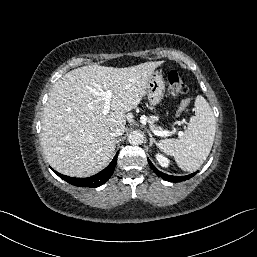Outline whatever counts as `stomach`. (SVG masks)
Segmentation results:
<instances>
[{
    "mask_svg": "<svg viewBox=\"0 0 257 257\" xmlns=\"http://www.w3.org/2000/svg\"><path fill=\"white\" fill-rule=\"evenodd\" d=\"M164 92L165 81L161 71L153 72L146 87V93L150 104L152 106L158 105L164 97Z\"/></svg>",
    "mask_w": 257,
    "mask_h": 257,
    "instance_id": "0dacf381",
    "label": "stomach"
}]
</instances>
